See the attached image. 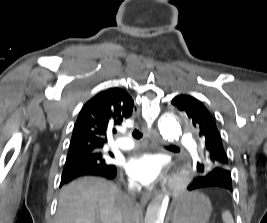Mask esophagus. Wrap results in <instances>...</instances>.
<instances>
[{"label":"esophagus","mask_w":267,"mask_h":223,"mask_svg":"<svg viewBox=\"0 0 267 223\" xmlns=\"http://www.w3.org/2000/svg\"><path fill=\"white\" fill-rule=\"evenodd\" d=\"M145 136L154 144H163V140L160 135L154 129L143 128ZM153 196V193L143 194L141 197V203L146 204Z\"/></svg>","instance_id":"obj_1"}]
</instances>
